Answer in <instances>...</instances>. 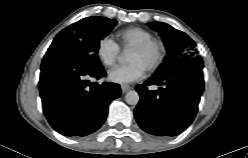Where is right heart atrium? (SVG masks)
<instances>
[{"label": "right heart atrium", "mask_w": 248, "mask_h": 158, "mask_svg": "<svg viewBox=\"0 0 248 158\" xmlns=\"http://www.w3.org/2000/svg\"><path fill=\"white\" fill-rule=\"evenodd\" d=\"M96 53L101 63L105 67L110 68L119 59L120 48L110 38L103 37L98 41Z\"/></svg>", "instance_id": "right-heart-atrium-1"}]
</instances>
